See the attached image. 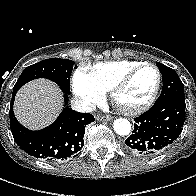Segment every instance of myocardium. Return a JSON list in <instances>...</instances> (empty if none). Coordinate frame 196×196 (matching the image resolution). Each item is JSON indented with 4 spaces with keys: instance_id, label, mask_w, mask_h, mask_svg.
<instances>
[{
    "instance_id": "obj_1",
    "label": "myocardium",
    "mask_w": 196,
    "mask_h": 196,
    "mask_svg": "<svg viewBox=\"0 0 196 196\" xmlns=\"http://www.w3.org/2000/svg\"><path fill=\"white\" fill-rule=\"evenodd\" d=\"M144 68H152L156 71L157 73V82H156V86L152 92V94L150 95V97L143 103L136 105V106H132V107H121L118 104V96L119 94L122 92V90L130 83V81L132 80V78L142 69ZM161 84H162V73L160 71V69L153 63H142L136 67H134L133 69H131L130 71H128L126 74H124L112 87V89L110 90V96H111V100L112 102L121 108L122 111H124L125 113L128 114H137V113H141L145 110H147L156 100L160 88H161Z\"/></svg>"
}]
</instances>
